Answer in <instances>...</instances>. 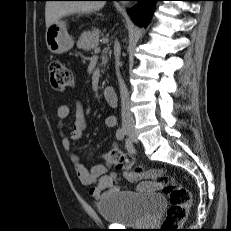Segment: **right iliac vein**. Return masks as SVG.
I'll list each match as a JSON object with an SVG mask.
<instances>
[{"instance_id":"right-iliac-vein-1","label":"right iliac vein","mask_w":231,"mask_h":231,"mask_svg":"<svg viewBox=\"0 0 231 231\" xmlns=\"http://www.w3.org/2000/svg\"><path fill=\"white\" fill-rule=\"evenodd\" d=\"M129 134H130V135H132V134H133V132H129Z\"/></svg>"}]
</instances>
